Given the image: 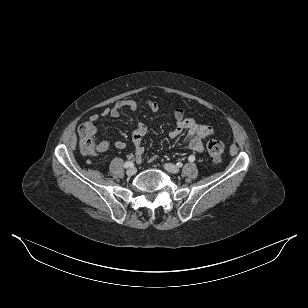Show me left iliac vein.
Listing matches in <instances>:
<instances>
[{"mask_svg": "<svg viewBox=\"0 0 308 308\" xmlns=\"http://www.w3.org/2000/svg\"><path fill=\"white\" fill-rule=\"evenodd\" d=\"M164 169L167 172L172 173V174H176V173L179 172V168L176 167L174 164H171V163L164 164Z\"/></svg>", "mask_w": 308, "mask_h": 308, "instance_id": "1", "label": "left iliac vein"}]
</instances>
